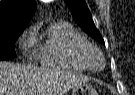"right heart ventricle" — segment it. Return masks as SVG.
<instances>
[{
  "instance_id": "e07e8e85",
  "label": "right heart ventricle",
  "mask_w": 135,
  "mask_h": 95,
  "mask_svg": "<svg viewBox=\"0 0 135 95\" xmlns=\"http://www.w3.org/2000/svg\"><path fill=\"white\" fill-rule=\"evenodd\" d=\"M36 42L35 55L44 67L83 72L87 68L78 58L76 49L87 40L71 24L56 21L41 30V24L31 30Z\"/></svg>"
}]
</instances>
